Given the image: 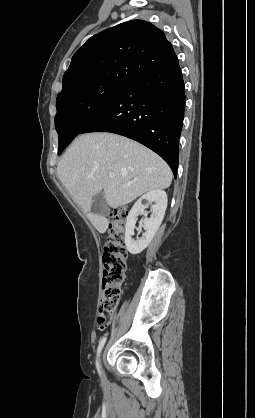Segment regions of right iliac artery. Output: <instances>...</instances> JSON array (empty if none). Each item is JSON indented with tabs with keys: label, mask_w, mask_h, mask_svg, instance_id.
<instances>
[{
	"label": "right iliac artery",
	"mask_w": 255,
	"mask_h": 418,
	"mask_svg": "<svg viewBox=\"0 0 255 418\" xmlns=\"http://www.w3.org/2000/svg\"><path fill=\"white\" fill-rule=\"evenodd\" d=\"M105 342H106V337H103V338L100 340V343H99L98 348H97L96 367H97V370H98V372H99V374H100V375H101V370H100V365H99L98 358H99V356H100L101 350H102V348H103V346H104Z\"/></svg>",
	"instance_id": "82829eb1"
}]
</instances>
